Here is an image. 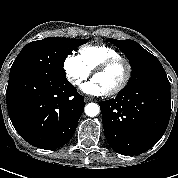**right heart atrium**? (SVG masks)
Instances as JSON below:
<instances>
[{
  "instance_id": "obj_1",
  "label": "right heart atrium",
  "mask_w": 178,
  "mask_h": 178,
  "mask_svg": "<svg viewBox=\"0 0 178 178\" xmlns=\"http://www.w3.org/2000/svg\"><path fill=\"white\" fill-rule=\"evenodd\" d=\"M63 67L67 80L75 87H79L90 76L89 70L77 55H68Z\"/></svg>"
}]
</instances>
